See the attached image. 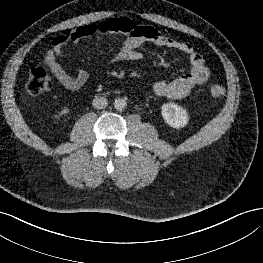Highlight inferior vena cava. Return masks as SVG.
<instances>
[{
  "mask_svg": "<svg viewBox=\"0 0 263 263\" xmlns=\"http://www.w3.org/2000/svg\"><path fill=\"white\" fill-rule=\"evenodd\" d=\"M93 107L96 108V109H104L107 107L108 105V101L105 97H95L93 99Z\"/></svg>",
  "mask_w": 263,
  "mask_h": 263,
  "instance_id": "602c4592",
  "label": "inferior vena cava"
}]
</instances>
